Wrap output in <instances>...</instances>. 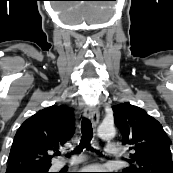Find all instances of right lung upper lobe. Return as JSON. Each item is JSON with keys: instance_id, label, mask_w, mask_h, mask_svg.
<instances>
[{"instance_id": "1", "label": "right lung upper lobe", "mask_w": 173, "mask_h": 173, "mask_svg": "<svg viewBox=\"0 0 173 173\" xmlns=\"http://www.w3.org/2000/svg\"><path fill=\"white\" fill-rule=\"evenodd\" d=\"M74 123L72 109L64 105L50 106L28 118L16 132L6 173L49 169L50 153L72 137Z\"/></svg>"}]
</instances>
